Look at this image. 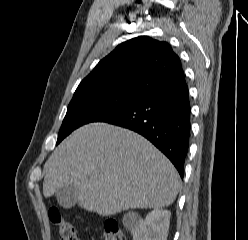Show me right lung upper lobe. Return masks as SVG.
<instances>
[{"instance_id":"right-lung-upper-lobe-1","label":"right lung upper lobe","mask_w":248,"mask_h":240,"mask_svg":"<svg viewBox=\"0 0 248 240\" xmlns=\"http://www.w3.org/2000/svg\"><path fill=\"white\" fill-rule=\"evenodd\" d=\"M183 82L181 61L171 46L140 36L118 45L77 89L111 88L142 98Z\"/></svg>"}]
</instances>
